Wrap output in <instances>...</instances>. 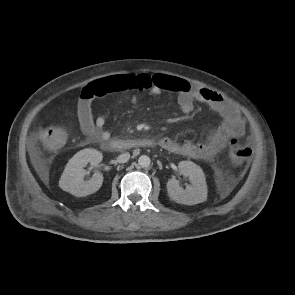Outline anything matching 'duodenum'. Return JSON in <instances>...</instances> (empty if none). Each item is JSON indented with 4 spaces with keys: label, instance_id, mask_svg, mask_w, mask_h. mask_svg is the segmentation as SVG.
<instances>
[{
    "label": "duodenum",
    "instance_id": "duodenum-1",
    "mask_svg": "<svg viewBox=\"0 0 295 295\" xmlns=\"http://www.w3.org/2000/svg\"><path fill=\"white\" fill-rule=\"evenodd\" d=\"M155 142L151 139H126L107 140L101 142V147L106 151H124L138 147H153Z\"/></svg>",
    "mask_w": 295,
    "mask_h": 295
}]
</instances>
